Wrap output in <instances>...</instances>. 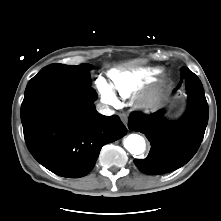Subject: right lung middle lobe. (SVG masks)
<instances>
[{
	"instance_id": "obj_1",
	"label": "right lung middle lobe",
	"mask_w": 221,
	"mask_h": 221,
	"mask_svg": "<svg viewBox=\"0 0 221 221\" xmlns=\"http://www.w3.org/2000/svg\"><path fill=\"white\" fill-rule=\"evenodd\" d=\"M92 68L93 66L90 64L79 66L51 64L42 68L31 80H49L72 86H86L91 84L89 71Z\"/></svg>"
}]
</instances>
